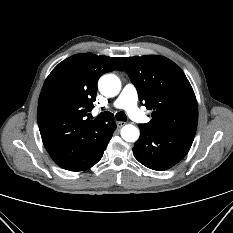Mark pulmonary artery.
Here are the masks:
<instances>
[{"label": "pulmonary artery", "instance_id": "pulmonary-artery-1", "mask_svg": "<svg viewBox=\"0 0 233 233\" xmlns=\"http://www.w3.org/2000/svg\"><path fill=\"white\" fill-rule=\"evenodd\" d=\"M138 94L136 87L128 83L126 84L118 98L114 101L112 107L116 109H124L130 118L141 123H147L149 118L143 114L137 106Z\"/></svg>", "mask_w": 233, "mask_h": 233}]
</instances>
